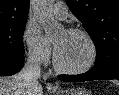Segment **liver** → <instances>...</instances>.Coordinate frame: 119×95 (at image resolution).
<instances>
[{
	"label": "liver",
	"mask_w": 119,
	"mask_h": 95,
	"mask_svg": "<svg viewBox=\"0 0 119 95\" xmlns=\"http://www.w3.org/2000/svg\"><path fill=\"white\" fill-rule=\"evenodd\" d=\"M19 74L0 77V95H43V88L39 82H24Z\"/></svg>",
	"instance_id": "liver-1"
}]
</instances>
